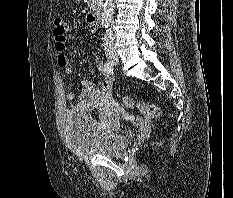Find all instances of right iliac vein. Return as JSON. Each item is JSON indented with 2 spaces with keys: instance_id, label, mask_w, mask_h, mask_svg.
<instances>
[{
  "instance_id": "obj_1",
  "label": "right iliac vein",
  "mask_w": 233,
  "mask_h": 198,
  "mask_svg": "<svg viewBox=\"0 0 233 198\" xmlns=\"http://www.w3.org/2000/svg\"><path fill=\"white\" fill-rule=\"evenodd\" d=\"M108 58L110 59L111 62H114L117 59L116 54L114 52L108 53Z\"/></svg>"
}]
</instances>
